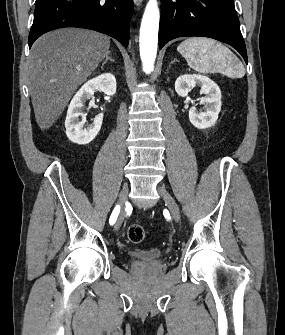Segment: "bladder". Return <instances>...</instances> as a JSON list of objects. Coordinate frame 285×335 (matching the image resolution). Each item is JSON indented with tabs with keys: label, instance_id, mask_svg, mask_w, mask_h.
I'll return each mask as SVG.
<instances>
[{
	"label": "bladder",
	"instance_id": "1",
	"mask_svg": "<svg viewBox=\"0 0 285 335\" xmlns=\"http://www.w3.org/2000/svg\"><path fill=\"white\" fill-rule=\"evenodd\" d=\"M164 255H166L165 251H159L156 248L128 252L131 261L138 265H156L163 260Z\"/></svg>",
	"mask_w": 285,
	"mask_h": 335
}]
</instances>
